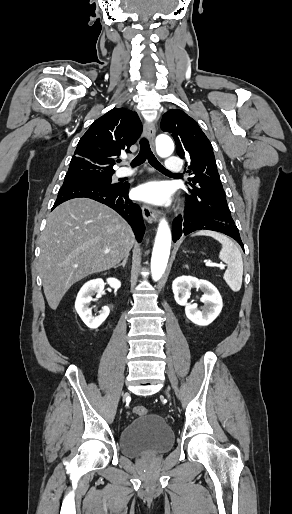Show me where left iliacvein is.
Here are the masks:
<instances>
[{"label":"left iliac vein","instance_id":"obj_1","mask_svg":"<svg viewBox=\"0 0 292 514\" xmlns=\"http://www.w3.org/2000/svg\"><path fill=\"white\" fill-rule=\"evenodd\" d=\"M167 396L170 398V395L168 394V392H166Z\"/></svg>","mask_w":292,"mask_h":514}]
</instances>
